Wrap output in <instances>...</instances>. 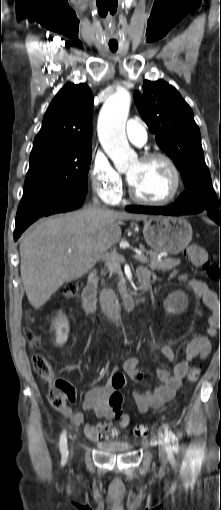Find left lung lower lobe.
<instances>
[{"instance_id":"1","label":"left lung lower lobe","mask_w":221,"mask_h":510,"mask_svg":"<svg viewBox=\"0 0 221 510\" xmlns=\"http://www.w3.org/2000/svg\"><path fill=\"white\" fill-rule=\"evenodd\" d=\"M126 210L135 213L147 214H163V215H188L200 213L203 210L197 208H179L172 205L167 207H145V206H127ZM209 217L214 220L221 227V211L208 210Z\"/></svg>"}]
</instances>
